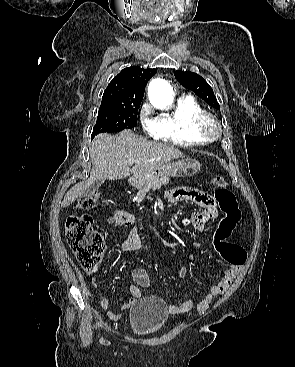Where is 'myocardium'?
Here are the masks:
<instances>
[{
    "label": "myocardium",
    "instance_id": "f54148a6",
    "mask_svg": "<svg viewBox=\"0 0 295 367\" xmlns=\"http://www.w3.org/2000/svg\"><path fill=\"white\" fill-rule=\"evenodd\" d=\"M195 130L199 135L211 141L220 136L222 126L216 116L204 111L195 120Z\"/></svg>",
    "mask_w": 295,
    "mask_h": 367
}]
</instances>
